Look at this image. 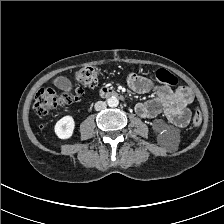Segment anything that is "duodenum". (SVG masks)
Masks as SVG:
<instances>
[{"mask_svg": "<svg viewBox=\"0 0 224 224\" xmlns=\"http://www.w3.org/2000/svg\"><path fill=\"white\" fill-rule=\"evenodd\" d=\"M100 95L109 97V96H117L118 94L111 88H103L100 91Z\"/></svg>", "mask_w": 224, "mask_h": 224, "instance_id": "duodenum-1", "label": "duodenum"}]
</instances>
